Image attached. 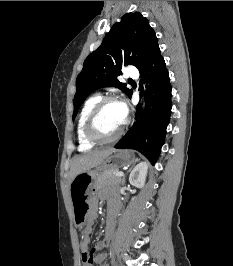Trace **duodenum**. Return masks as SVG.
Segmentation results:
<instances>
[{
  "instance_id": "duodenum-1",
  "label": "duodenum",
  "mask_w": 233,
  "mask_h": 266,
  "mask_svg": "<svg viewBox=\"0 0 233 266\" xmlns=\"http://www.w3.org/2000/svg\"><path fill=\"white\" fill-rule=\"evenodd\" d=\"M115 215H116V209L113 208V207H110V208H109V219L114 218Z\"/></svg>"
}]
</instances>
